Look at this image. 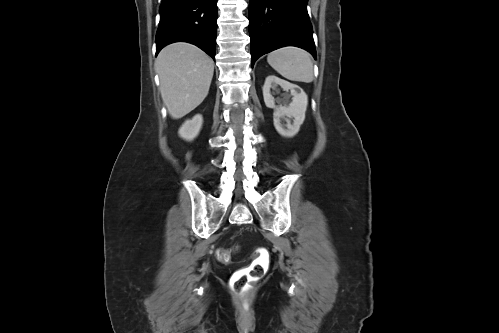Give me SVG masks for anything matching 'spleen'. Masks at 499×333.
<instances>
[{
    "instance_id": "3e777b00",
    "label": "spleen",
    "mask_w": 499,
    "mask_h": 333,
    "mask_svg": "<svg viewBox=\"0 0 499 333\" xmlns=\"http://www.w3.org/2000/svg\"><path fill=\"white\" fill-rule=\"evenodd\" d=\"M267 62L291 81L310 83L314 79L311 55L298 47H284L268 54Z\"/></svg>"
}]
</instances>
